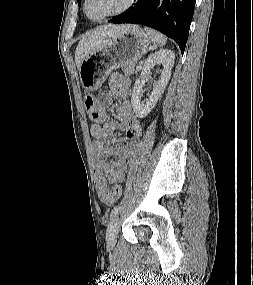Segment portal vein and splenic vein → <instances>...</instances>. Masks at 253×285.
I'll use <instances>...</instances> for the list:
<instances>
[{
  "label": "portal vein and splenic vein",
  "instance_id": "obj_1",
  "mask_svg": "<svg viewBox=\"0 0 253 285\" xmlns=\"http://www.w3.org/2000/svg\"><path fill=\"white\" fill-rule=\"evenodd\" d=\"M140 68H141V65H138V66H137V69H140Z\"/></svg>",
  "mask_w": 253,
  "mask_h": 285
}]
</instances>
